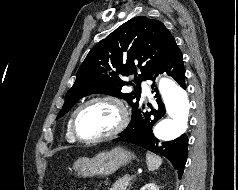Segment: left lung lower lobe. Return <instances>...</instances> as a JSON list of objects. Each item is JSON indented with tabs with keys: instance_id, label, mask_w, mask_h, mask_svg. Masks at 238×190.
I'll return each instance as SVG.
<instances>
[{
	"instance_id": "left-lung-lower-lobe-1",
	"label": "left lung lower lobe",
	"mask_w": 238,
	"mask_h": 190,
	"mask_svg": "<svg viewBox=\"0 0 238 190\" xmlns=\"http://www.w3.org/2000/svg\"><path fill=\"white\" fill-rule=\"evenodd\" d=\"M163 72L173 77L183 89H186L183 55L180 50L162 64L149 80H155L156 76ZM152 89H154V84ZM155 92L157 106L153 108L151 105H148L151 110L146 111V105L139 103L132 111V119L129 125L119 134L116 140L132 143L155 154L163 155L171 161L181 177L187 160L188 138L183 134L172 141L163 142L153 135V125L165 114V107L161 97L157 90Z\"/></svg>"
}]
</instances>
